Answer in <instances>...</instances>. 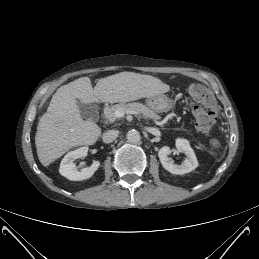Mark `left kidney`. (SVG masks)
Masks as SVG:
<instances>
[{
    "label": "left kidney",
    "instance_id": "left-kidney-1",
    "mask_svg": "<svg viewBox=\"0 0 259 259\" xmlns=\"http://www.w3.org/2000/svg\"><path fill=\"white\" fill-rule=\"evenodd\" d=\"M175 145L178 152L184 153L186 155L185 160L181 165L174 164L171 158L168 157V155H170L172 152L170 147L163 146L158 152V157L160 159L162 166L170 173L177 175L189 173L195 168H197L198 161L188 140L178 138L176 139Z\"/></svg>",
    "mask_w": 259,
    "mask_h": 259
}]
</instances>
